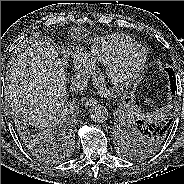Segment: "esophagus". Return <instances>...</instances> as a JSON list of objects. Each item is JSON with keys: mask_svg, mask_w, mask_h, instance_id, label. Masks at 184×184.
Returning a JSON list of instances; mask_svg holds the SVG:
<instances>
[{"mask_svg": "<svg viewBox=\"0 0 184 184\" xmlns=\"http://www.w3.org/2000/svg\"><path fill=\"white\" fill-rule=\"evenodd\" d=\"M97 99H95V98H90L89 100H87L86 102H85V106H87V107H89V106H93V105H95V104H97Z\"/></svg>", "mask_w": 184, "mask_h": 184, "instance_id": "1", "label": "esophagus"}]
</instances>
